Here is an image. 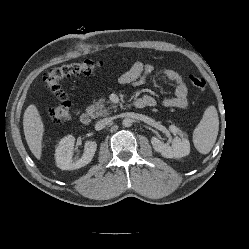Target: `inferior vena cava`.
Wrapping results in <instances>:
<instances>
[{"label":"inferior vena cava","mask_w":249,"mask_h":249,"mask_svg":"<svg viewBox=\"0 0 249 249\" xmlns=\"http://www.w3.org/2000/svg\"><path fill=\"white\" fill-rule=\"evenodd\" d=\"M112 122V118H104L99 120L96 124H95V128L97 130L103 129L104 127H106L108 124H110Z\"/></svg>","instance_id":"obj_1"}]
</instances>
